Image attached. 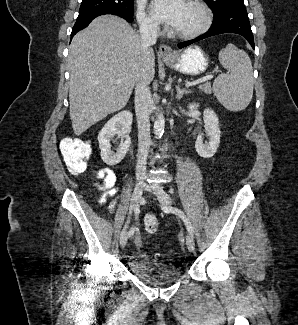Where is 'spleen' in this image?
<instances>
[{"label":"spleen","instance_id":"1","mask_svg":"<svg viewBox=\"0 0 298 325\" xmlns=\"http://www.w3.org/2000/svg\"><path fill=\"white\" fill-rule=\"evenodd\" d=\"M219 60L227 68L213 82L214 96L227 110H244L248 106L254 88L252 62L245 50L235 44H226L219 52Z\"/></svg>","mask_w":298,"mask_h":325}]
</instances>
